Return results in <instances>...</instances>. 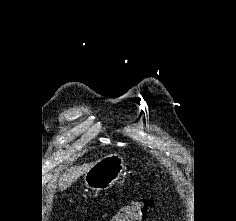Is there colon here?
<instances>
[{
    "label": "colon",
    "instance_id": "obj_1",
    "mask_svg": "<svg viewBox=\"0 0 236 221\" xmlns=\"http://www.w3.org/2000/svg\"><path fill=\"white\" fill-rule=\"evenodd\" d=\"M155 207L150 198L135 200L122 205L109 221H145Z\"/></svg>",
    "mask_w": 236,
    "mask_h": 221
}]
</instances>
